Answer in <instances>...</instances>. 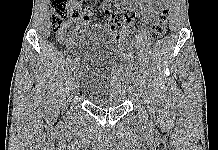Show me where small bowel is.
<instances>
[{
	"mask_svg": "<svg viewBox=\"0 0 218 150\" xmlns=\"http://www.w3.org/2000/svg\"><path fill=\"white\" fill-rule=\"evenodd\" d=\"M93 0H72L70 20L65 22L61 29L57 32V41L71 48L74 41L83 33L90 30L107 31L104 24L93 23V16L90 8V3ZM169 0H104L102 10L104 13L110 12V5L114 4L118 8H125L124 11H119L124 15L123 27L131 30L135 17L139 15L144 22H151L157 14L168 6ZM81 20L79 25L73 30H70L72 22Z\"/></svg>",
	"mask_w": 218,
	"mask_h": 150,
	"instance_id": "1",
	"label": "small bowel"
}]
</instances>
